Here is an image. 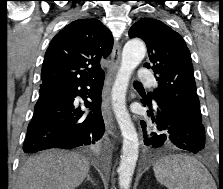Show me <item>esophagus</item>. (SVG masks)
Here are the masks:
<instances>
[{"mask_svg":"<svg viewBox=\"0 0 223 189\" xmlns=\"http://www.w3.org/2000/svg\"><path fill=\"white\" fill-rule=\"evenodd\" d=\"M120 62H121V45L118 41H116L112 54H111V64L106 75L107 87L105 89L103 105H102V114H103L105 122L107 123L110 129L114 128V123H113L114 120H113V114L111 111V104H110V89H111V85L113 83L115 74L117 72V69L119 68Z\"/></svg>","mask_w":223,"mask_h":189,"instance_id":"34e87169","label":"esophagus"}]
</instances>
